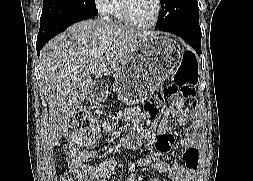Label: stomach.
<instances>
[{
	"instance_id": "1",
	"label": "stomach",
	"mask_w": 253,
	"mask_h": 181,
	"mask_svg": "<svg viewBox=\"0 0 253 181\" xmlns=\"http://www.w3.org/2000/svg\"><path fill=\"white\" fill-rule=\"evenodd\" d=\"M181 58L179 45L168 36L143 40L115 74L118 98L128 105L144 101L174 72Z\"/></svg>"
}]
</instances>
